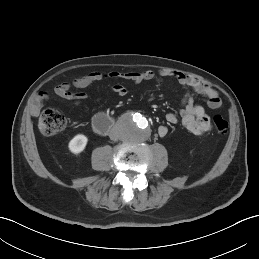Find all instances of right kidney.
<instances>
[{
  "label": "right kidney",
  "instance_id": "ca27d5eb",
  "mask_svg": "<svg viewBox=\"0 0 259 259\" xmlns=\"http://www.w3.org/2000/svg\"><path fill=\"white\" fill-rule=\"evenodd\" d=\"M87 142L88 139L85 135L78 134L69 142V150L74 154H78L85 149Z\"/></svg>",
  "mask_w": 259,
  "mask_h": 259
}]
</instances>
